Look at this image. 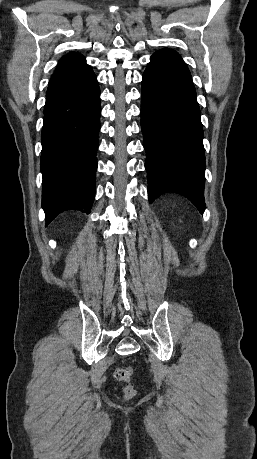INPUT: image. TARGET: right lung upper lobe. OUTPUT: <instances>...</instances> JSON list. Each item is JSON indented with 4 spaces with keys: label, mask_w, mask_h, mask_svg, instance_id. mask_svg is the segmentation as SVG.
<instances>
[{
    "label": "right lung upper lobe",
    "mask_w": 257,
    "mask_h": 459,
    "mask_svg": "<svg viewBox=\"0 0 257 459\" xmlns=\"http://www.w3.org/2000/svg\"><path fill=\"white\" fill-rule=\"evenodd\" d=\"M93 73L85 58L79 53H69L64 56L57 65L52 75L49 86L80 80Z\"/></svg>",
    "instance_id": "1"
}]
</instances>
